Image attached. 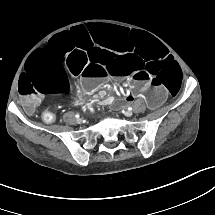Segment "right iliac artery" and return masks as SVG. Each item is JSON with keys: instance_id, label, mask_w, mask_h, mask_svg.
I'll return each instance as SVG.
<instances>
[{"instance_id": "right-iliac-artery-1", "label": "right iliac artery", "mask_w": 215, "mask_h": 215, "mask_svg": "<svg viewBox=\"0 0 215 215\" xmlns=\"http://www.w3.org/2000/svg\"><path fill=\"white\" fill-rule=\"evenodd\" d=\"M75 117H76V118H79V115H78V114H76V115H75Z\"/></svg>"}]
</instances>
